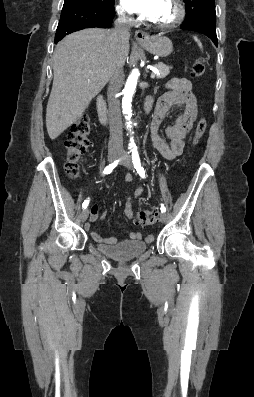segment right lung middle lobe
<instances>
[{
	"label": "right lung middle lobe",
	"instance_id": "1",
	"mask_svg": "<svg viewBox=\"0 0 254 397\" xmlns=\"http://www.w3.org/2000/svg\"><path fill=\"white\" fill-rule=\"evenodd\" d=\"M79 4L87 7L100 9V10H110L114 8V0H73Z\"/></svg>",
	"mask_w": 254,
	"mask_h": 397
}]
</instances>
